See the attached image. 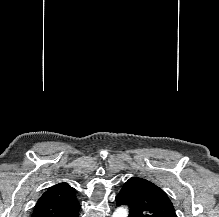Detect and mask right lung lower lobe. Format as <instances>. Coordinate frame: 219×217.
I'll use <instances>...</instances> for the list:
<instances>
[{
    "instance_id": "obj_1",
    "label": "right lung lower lobe",
    "mask_w": 219,
    "mask_h": 217,
    "mask_svg": "<svg viewBox=\"0 0 219 217\" xmlns=\"http://www.w3.org/2000/svg\"><path fill=\"white\" fill-rule=\"evenodd\" d=\"M71 217H78V213L71 215Z\"/></svg>"
}]
</instances>
